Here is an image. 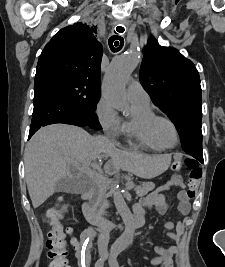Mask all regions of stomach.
Masks as SVG:
<instances>
[{"mask_svg": "<svg viewBox=\"0 0 225 267\" xmlns=\"http://www.w3.org/2000/svg\"><path fill=\"white\" fill-rule=\"evenodd\" d=\"M146 163V166H144L145 177L151 178L161 174L168 168L170 158L168 156H157L151 158Z\"/></svg>", "mask_w": 225, "mask_h": 267, "instance_id": "obj_1", "label": "stomach"}]
</instances>
